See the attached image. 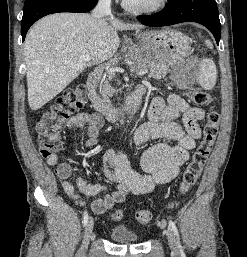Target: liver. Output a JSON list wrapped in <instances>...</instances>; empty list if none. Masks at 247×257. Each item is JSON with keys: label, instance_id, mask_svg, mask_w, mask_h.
<instances>
[{"label": "liver", "instance_id": "liver-1", "mask_svg": "<svg viewBox=\"0 0 247 257\" xmlns=\"http://www.w3.org/2000/svg\"><path fill=\"white\" fill-rule=\"evenodd\" d=\"M142 27L113 17L95 19L86 13H55L39 20L24 44L31 110L56 97L86 67L113 57L120 44L118 30ZM81 55H89L90 61H80Z\"/></svg>", "mask_w": 247, "mask_h": 257}]
</instances>
